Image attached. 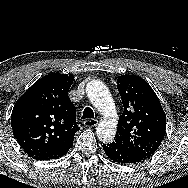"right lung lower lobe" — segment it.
Returning <instances> with one entry per match:
<instances>
[{
    "mask_svg": "<svg viewBox=\"0 0 188 188\" xmlns=\"http://www.w3.org/2000/svg\"><path fill=\"white\" fill-rule=\"evenodd\" d=\"M72 145L67 146V147L60 149V150H56V151H53V152L43 154L39 158H37V160H50V159L59 158V157L63 156L64 154H66L68 152V150L72 147Z\"/></svg>",
    "mask_w": 188,
    "mask_h": 188,
    "instance_id": "1",
    "label": "right lung lower lobe"
}]
</instances>
